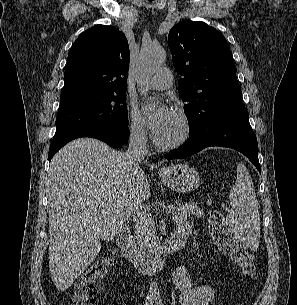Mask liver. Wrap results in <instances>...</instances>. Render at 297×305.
<instances>
[{"mask_svg":"<svg viewBox=\"0 0 297 305\" xmlns=\"http://www.w3.org/2000/svg\"><path fill=\"white\" fill-rule=\"evenodd\" d=\"M48 188L49 270L56 288L66 291L95 260L100 240H111L149 199L150 186L124 153L79 138L52 158Z\"/></svg>","mask_w":297,"mask_h":305,"instance_id":"6515ba94","label":"liver"}]
</instances>
